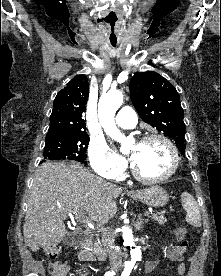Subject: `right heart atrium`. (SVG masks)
<instances>
[{"mask_svg": "<svg viewBox=\"0 0 221 276\" xmlns=\"http://www.w3.org/2000/svg\"><path fill=\"white\" fill-rule=\"evenodd\" d=\"M88 156L93 170L102 177L116 180L126 169V160L118 155L102 138H93L88 147Z\"/></svg>", "mask_w": 221, "mask_h": 276, "instance_id": "1", "label": "right heart atrium"}]
</instances>
